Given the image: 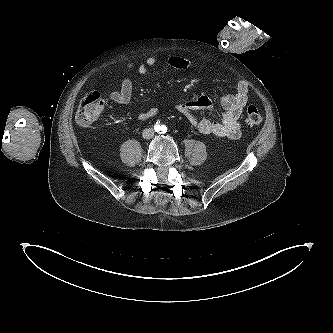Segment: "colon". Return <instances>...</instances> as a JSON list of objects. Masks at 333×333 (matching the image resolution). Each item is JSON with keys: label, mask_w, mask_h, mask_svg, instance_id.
Returning a JSON list of instances; mask_svg holds the SVG:
<instances>
[{"label": "colon", "mask_w": 333, "mask_h": 333, "mask_svg": "<svg viewBox=\"0 0 333 333\" xmlns=\"http://www.w3.org/2000/svg\"><path fill=\"white\" fill-rule=\"evenodd\" d=\"M103 106L100 93L97 90L88 91L80 101L76 121L82 126L92 124L100 116ZM245 122L252 128H256L262 123V115L256 106L250 105L247 107Z\"/></svg>", "instance_id": "5ec220e1"}]
</instances>
